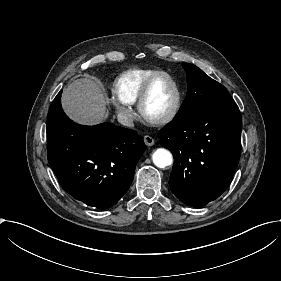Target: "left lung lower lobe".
<instances>
[{
	"mask_svg": "<svg viewBox=\"0 0 281 281\" xmlns=\"http://www.w3.org/2000/svg\"><path fill=\"white\" fill-rule=\"evenodd\" d=\"M241 129L235 103L174 119L159 132L174 156L169 184L180 201L200 208L225 191L239 162Z\"/></svg>",
	"mask_w": 281,
	"mask_h": 281,
	"instance_id": "obj_1",
	"label": "left lung lower lobe"
}]
</instances>
